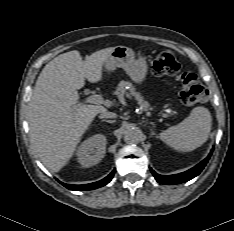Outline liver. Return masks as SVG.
Returning <instances> with one entry per match:
<instances>
[{
	"mask_svg": "<svg viewBox=\"0 0 234 231\" xmlns=\"http://www.w3.org/2000/svg\"><path fill=\"white\" fill-rule=\"evenodd\" d=\"M115 47L86 56L74 50L58 55L41 71L29 104L30 140L41 162L60 171L73 156L95 116L106 108L78 102L85 79H102V67Z\"/></svg>",
	"mask_w": 234,
	"mask_h": 231,
	"instance_id": "liver-1",
	"label": "liver"
}]
</instances>
